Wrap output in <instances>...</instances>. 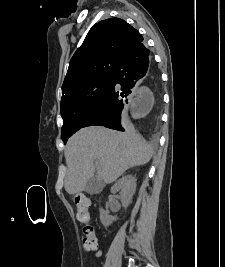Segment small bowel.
<instances>
[{
	"mask_svg": "<svg viewBox=\"0 0 225 267\" xmlns=\"http://www.w3.org/2000/svg\"><path fill=\"white\" fill-rule=\"evenodd\" d=\"M93 250L96 251V255L97 256H100L101 252L98 250L97 245H96V247Z\"/></svg>",
	"mask_w": 225,
	"mask_h": 267,
	"instance_id": "c3829d8e",
	"label": "small bowel"
}]
</instances>
